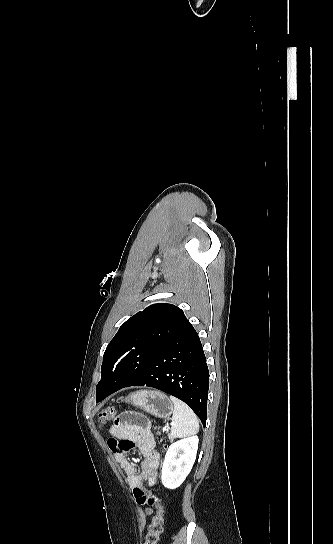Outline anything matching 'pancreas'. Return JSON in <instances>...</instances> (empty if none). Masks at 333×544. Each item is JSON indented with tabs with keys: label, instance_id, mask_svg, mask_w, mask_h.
<instances>
[{
	"label": "pancreas",
	"instance_id": "pancreas-1",
	"mask_svg": "<svg viewBox=\"0 0 333 544\" xmlns=\"http://www.w3.org/2000/svg\"><path fill=\"white\" fill-rule=\"evenodd\" d=\"M169 439H171V436L168 434Z\"/></svg>",
	"mask_w": 333,
	"mask_h": 544
}]
</instances>
